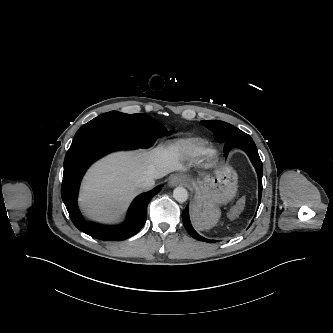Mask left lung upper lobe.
Wrapping results in <instances>:
<instances>
[{"label": "left lung upper lobe", "instance_id": "left-lung-upper-lobe-1", "mask_svg": "<svg viewBox=\"0 0 333 333\" xmlns=\"http://www.w3.org/2000/svg\"><path fill=\"white\" fill-rule=\"evenodd\" d=\"M202 123L214 133V138L219 143L227 142L234 134L240 131L238 128L223 121L209 120Z\"/></svg>", "mask_w": 333, "mask_h": 333}]
</instances>
